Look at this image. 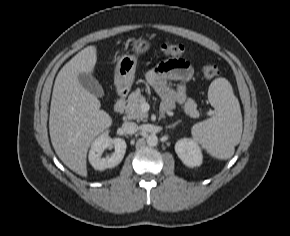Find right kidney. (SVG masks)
<instances>
[{
	"label": "right kidney",
	"instance_id": "1",
	"mask_svg": "<svg viewBox=\"0 0 290 236\" xmlns=\"http://www.w3.org/2000/svg\"><path fill=\"white\" fill-rule=\"evenodd\" d=\"M115 148L111 157H101L107 148ZM126 152V142L121 138H110L108 133L98 136L91 144L89 162L95 170H105L117 166Z\"/></svg>",
	"mask_w": 290,
	"mask_h": 236
}]
</instances>
